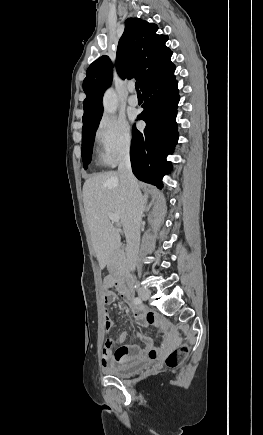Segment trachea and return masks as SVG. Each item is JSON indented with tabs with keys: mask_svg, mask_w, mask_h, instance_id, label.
<instances>
[{
	"mask_svg": "<svg viewBox=\"0 0 263 435\" xmlns=\"http://www.w3.org/2000/svg\"><path fill=\"white\" fill-rule=\"evenodd\" d=\"M135 88H136L137 93L140 94V91H139V84H138L137 82L135 83Z\"/></svg>",
	"mask_w": 263,
	"mask_h": 435,
	"instance_id": "obj_1",
	"label": "trachea"
}]
</instances>
